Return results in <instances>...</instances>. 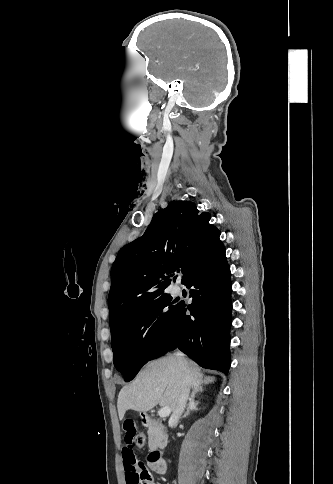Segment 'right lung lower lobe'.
I'll return each mask as SVG.
<instances>
[{
	"instance_id": "98d812e1",
	"label": "right lung lower lobe",
	"mask_w": 333,
	"mask_h": 484,
	"mask_svg": "<svg viewBox=\"0 0 333 484\" xmlns=\"http://www.w3.org/2000/svg\"><path fill=\"white\" fill-rule=\"evenodd\" d=\"M185 285L191 289L192 303L180 305L151 360L179 348L202 367L227 374L231 362L232 284L224 245ZM186 309L191 316L185 314Z\"/></svg>"
}]
</instances>
